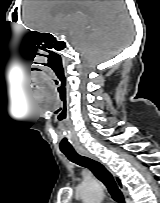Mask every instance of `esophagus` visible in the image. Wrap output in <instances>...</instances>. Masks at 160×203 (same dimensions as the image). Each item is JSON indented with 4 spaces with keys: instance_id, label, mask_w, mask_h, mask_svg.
I'll use <instances>...</instances> for the list:
<instances>
[{
    "instance_id": "1",
    "label": "esophagus",
    "mask_w": 160,
    "mask_h": 203,
    "mask_svg": "<svg viewBox=\"0 0 160 203\" xmlns=\"http://www.w3.org/2000/svg\"><path fill=\"white\" fill-rule=\"evenodd\" d=\"M77 151L81 155H84V156L91 157V158L95 159V157L92 154H90L88 151H86L83 148H78ZM115 180L118 183V180L116 178H115ZM122 192H123L125 200H127V191H126V189L124 187H122Z\"/></svg>"
}]
</instances>
